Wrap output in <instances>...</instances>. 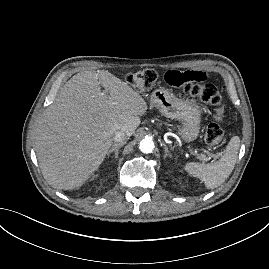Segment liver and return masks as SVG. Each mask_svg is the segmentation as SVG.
<instances>
[{"mask_svg":"<svg viewBox=\"0 0 269 269\" xmlns=\"http://www.w3.org/2000/svg\"><path fill=\"white\" fill-rule=\"evenodd\" d=\"M147 109L138 92L107 70L74 75L37 125L35 149L45 180L59 190L81 187L104 161L115 133L131 136Z\"/></svg>","mask_w":269,"mask_h":269,"instance_id":"liver-1","label":"liver"}]
</instances>
